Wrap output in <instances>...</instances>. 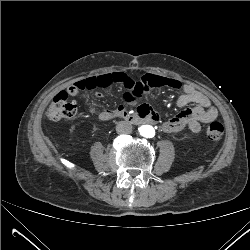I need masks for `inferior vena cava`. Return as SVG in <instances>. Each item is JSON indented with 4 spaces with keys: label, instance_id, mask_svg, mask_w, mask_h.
<instances>
[{
    "label": "inferior vena cava",
    "instance_id": "602c4592",
    "mask_svg": "<svg viewBox=\"0 0 250 250\" xmlns=\"http://www.w3.org/2000/svg\"><path fill=\"white\" fill-rule=\"evenodd\" d=\"M118 134H130L132 132V125L127 121H120L116 126Z\"/></svg>",
    "mask_w": 250,
    "mask_h": 250
}]
</instances>
